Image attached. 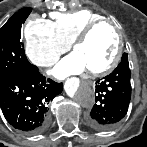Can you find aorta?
Returning a JSON list of instances; mask_svg holds the SVG:
<instances>
[{"label": "aorta", "instance_id": "obj_1", "mask_svg": "<svg viewBox=\"0 0 147 147\" xmlns=\"http://www.w3.org/2000/svg\"><path fill=\"white\" fill-rule=\"evenodd\" d=\"M70 95L83 107L89 108L94 104V91L85 83H80L70 91Z\"/></svg>", "mask_w": 147, "mask_h": 147}]
</instances>
